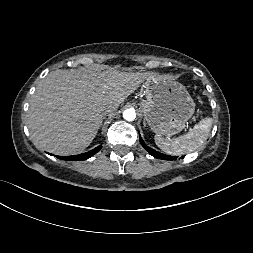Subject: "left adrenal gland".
<instances>
[{"label":"left adrenal gland","mask_w":253,"mask_h":253,"mask_svg":"<svg viewBox=\"0 0 253 253\" xmlns=\"http://www.w3.org/2000/svg\"><path fill=\"white\" fill-rule=\"evenodd\" d=\"M143 124H144V127H146V122L145 121H143Z\"/></svg>","instance_id":"obj_1"}]
</instances>
